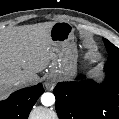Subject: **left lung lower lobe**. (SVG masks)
<instances>
[{"instance_id": "obj_1", "label": "left lung lower lobe", "mask_w": 119, "mask_h": 119, "mask_svg": "<svg viewBox=\"0 0 119 119\" xmlns=\"http://www.w3.org/2000/svg\"><path fill=\"white\" fill-rule=\"evenodd\" d=\"M103 40L108 52L104 82L58 83L53 93L59 119H119V48Z\"/></svg>"}]
</instances>
